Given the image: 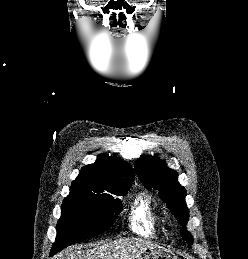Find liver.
Returning a JSON list of instances; mask_svg holds the SVG:
<instances>
[{"instance_id":"liver-1","label":"liver","mask_w":248,"mask_h":259,"mask_svg":"<svg viewBox=\"0 0 248 259\" xmlns=\"http://www.w3.org/2000/svg\"><path fill=\"white\" fill-rule=\"evenodd\" d=\"M151 247L154 244L144 239L125 238L86 250L81 245L73 246L59 253L56 259H136Z\"/></svg>"}]
</instances>
